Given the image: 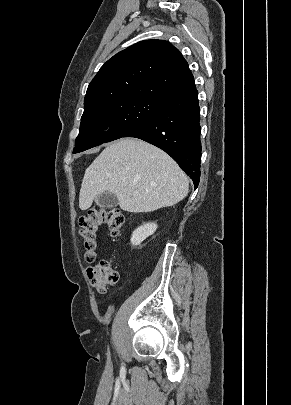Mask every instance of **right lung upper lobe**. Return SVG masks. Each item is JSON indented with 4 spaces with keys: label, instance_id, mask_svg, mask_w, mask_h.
I'll return each instance as SVG.
<instances>
[{
    "label": "right lung upper lobe",
    "instance_id": "1",
    "mask_svg": "<svg viewBox=\"0 0 291 405\" xmlns=\"http://www.w3.org/2000/svg\"><path fill=\"white\" fill-rule=\"evenodd\" d=\"M195 85L180 51L164 40L138 42L109 59L88 86L84 108L100 103L146 98L165 102Z\"/></svg>",
    "mask_w": 291,
    "mask_h": 405
}]
</instances>
